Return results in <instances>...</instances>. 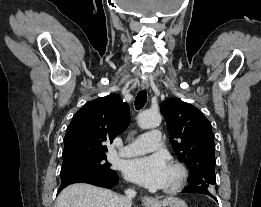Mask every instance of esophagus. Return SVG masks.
<instances>
[{"mask_svg":"<svg viewBox=\"0 0 261 207\" xmlns=\"http://www.w3.org/2000/svg\"><path fill=\"white\" fill-rule=\"evenodd\" d=\"M141 88L142 89H147L149 88V81L147 79H144L142 82H141ZM142 201L143 203L146 205V206H150L152 204L155 203V199L150 197V196H145L142 198Z\"/></svg>","mask_w":261,"mask_h":207,"instance_id":"1","label":"esophagus"}]
</instances>
